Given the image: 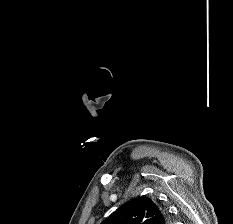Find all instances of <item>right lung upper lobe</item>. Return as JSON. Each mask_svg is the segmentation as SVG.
<instances>
[{"instance_id": "obj_1", "label": "right lung upper lobe", "mask_w": 233, "mask_h": 224, "mask_svg": "<svg viewBox=\"0 0 233 224\" xmlns=\"http://www.w3.org/2000/svg\"><path fill=\"white\" fill-rule=\"evenodd\" d=\"M166 213L151 199L140 197L133 199L112 215L106 218L101 224H167Z\"/></svg>"}]
</instances>
